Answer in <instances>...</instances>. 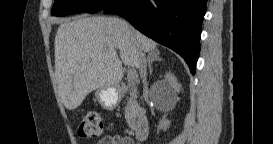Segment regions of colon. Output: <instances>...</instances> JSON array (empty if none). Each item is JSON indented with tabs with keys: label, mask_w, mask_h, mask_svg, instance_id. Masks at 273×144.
Masks as SVG:
<instances>
[{
	"label": "colon",
	"mask_w": 273,
	"mask_h": 144,
	"mask_svg": "<svg viewBox=\"0 0 273 144\" xmlns=\"http://www.w3.org/2000/svg\"><path fill=\"white\" fill-rule=\"evenodd\" d=\"M104 133L103 120L95 112L86 113L78 126V135L81 138L94 139L99 138Z\"/></svg>",
	"instance_id": "colon-1"
}]
</instances>
